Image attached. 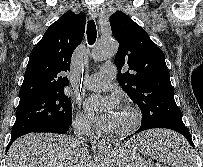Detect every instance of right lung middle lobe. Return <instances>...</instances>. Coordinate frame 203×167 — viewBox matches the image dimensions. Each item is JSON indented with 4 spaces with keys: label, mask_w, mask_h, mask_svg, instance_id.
<instances>
[{
    "label": "right lung middle lobe",
    "mask_w": 203,
    "mask_h": 167,
    "mask_svg": "<svg viewBox=\"0 0 203 167\" xmlns=\"http://www.w3.org/2000/svg\"><path fill=\"white\" fill-rule=\"evenodd\" d=\"M71 100L64 91L38 95L19 102L11 138L37 130L71 125Z\"/></svg>",
    "instance_id": "1"
}]
</instances>
